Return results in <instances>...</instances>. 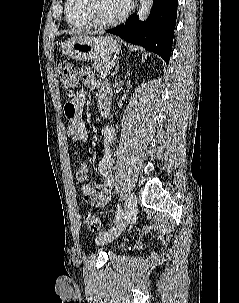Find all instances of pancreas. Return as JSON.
<instances>
[{
  "label": "pancreas",
  "instance_id": "cf45deb5",
  "mask_svg": "<svg viewBox=\"0 0 239 303\" xmlns=\"http://www.w3.org/2000/svg\"><path fill=\"white\" fill-rule=\"evenodd\" d=\"M108 59L95 60L92 67L95 71L100 73L102 76H107L109 74V69L107 65L109 64Z\"/></svg>",
  "mask_w": 239,
  "mask_h": 303
}]
</instances>
